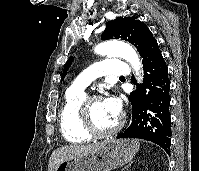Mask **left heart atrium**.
<instances>
[{
    "mask_svg": "<svg viewBox=\"0 0 199 171\" xmlns=\"http://www.w3.org/2000/svg\"><path fill=\"white\" fill-rule=\"evenodd\" d=\"M103 104L106 111L113 117H119L121 113V101L115 95H108L106 98L103 99Z\"/></svg>",
    "mask_w": 199,
    "mask_h": 171,
    "instance_id": "obj_1",
    "label": "left heart atrium"
}]
</instances>
